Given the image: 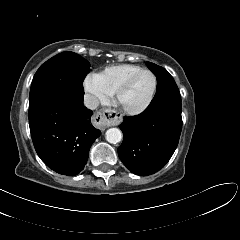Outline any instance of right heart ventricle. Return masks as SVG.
<instances>
[{
  "mask_svg": "<svg viewBox=\"0 0 240 240\" xmlns=\"http://www.w3.org/2000/svg\"><path fill=\"white\" fill-rule=\"evenodd\" d=\"M143 68L133 64H122L106 67L97 74L102 86L110 93L114 94L117 89L133 74Z\"/></svg>",
  "mask_w": 240,
  "mask_h": 240,
  "instance_id": "right-heart-ventricle-1",
  "label": "right heart ventricle"
}]
</instances>
